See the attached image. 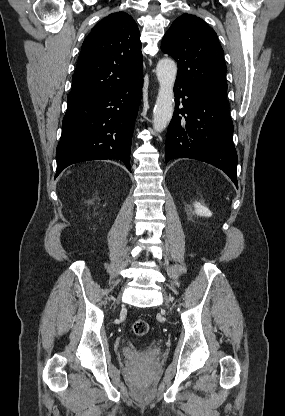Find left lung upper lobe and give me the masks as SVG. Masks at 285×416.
<instances>
[{
    "mask_svg": "<svg viewBox=\"0 0 285 416\" xmlns=\"http://www.w3.org/2000/svg\"><path fill=\"white\" fill-rule=\"evenodd\" d=\"M161 49L178 63L176 82L205 96L227 101L224 52L215 31L195 15L178 17Z\"/></svg>",
    "mask_w": 285,
    "mask_h": 416,
    "instance_id": "1",
    "label": "left lung upper lobe"
}]
</instances>
